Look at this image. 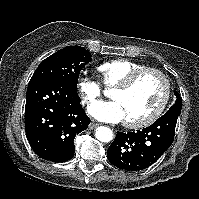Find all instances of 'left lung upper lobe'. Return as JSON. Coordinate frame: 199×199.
<instances>
[{
    "label": "left lung upper lobe",
    "instance_id": "5c2ea615",
    "mask_svg": "<svg viewBox=\"0 0 199 199\" xmlns=\"http://www.w3.org/2000/svg\"><path fill=\"white\" fill-rule=\"evenodd\" d=\"M175 95H176V101L174 105L166 113H176L180 115L182 108L181 97L177 92H175Z\"/></svg>",
    "mask_w": 199,
    "mask_h": 199
}]
</instances>
